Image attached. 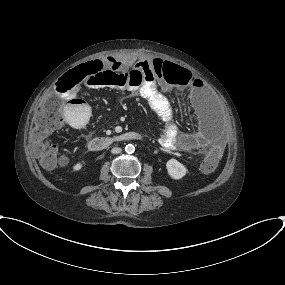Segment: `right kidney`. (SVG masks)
<instances>
[{
	"label": "right kidney",
	"mask_w": 285,
	"mask_h": 285,
	"mask_svg": "<svg viewBox=\"0 0 285 285\" xmlns=\"http://www.w3.org/2000/svg\"><path fill=\"white\" fill-rule=\"evenodd\" d=\"M83 167V163L79 162L73 166V171H80Z\"/></svg>",
	"instance_id": "obj_1"
}]
</instances>
